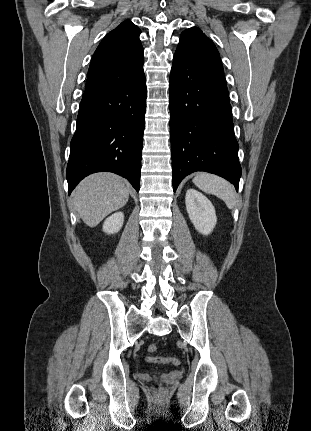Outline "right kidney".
I'll list each match as a JSON object with an SVG mask.
<instances>
[{
    "label": "right kidney",
    "instance_id": "right-kidney-1",
    "mask_svg": "<svg viewBox=\"0 0 311 431\" xmlns=\"http://www.w3.org/2000/svg\"><path fill=\"white\" fill-rule=\"evenodd\" d=\"M124 221L123 212H116L112 216L106 217L103 223V231L106 233H117L121 229Z\"/></svg>",
    "mask_w": 311,
    "mask_h": 431
}]
</instances>
